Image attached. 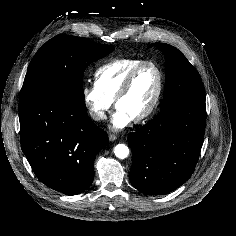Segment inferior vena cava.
Instances as JSON below:
<instances>
[{"mask_svg":"<svg viewBox=\"0 0 236 236\" xmlns=\"http://www.w3.org/2000/svg\"><path fill=\"white\" fill-rule=\"evenodd\" d=\"M91 116L94 118V119H100V113L99 112H94L93 110L90 112Z\"/></svg>","mask_w":236,"mask_h":236,"instance_id":"602c4592","label":"inferior vena cava"}]
</instances>
